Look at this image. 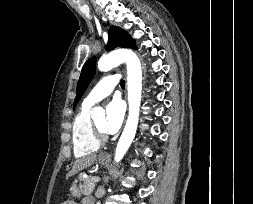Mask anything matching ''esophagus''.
<instances>
[{"label":"esophagus","mask_w":253,"mask_h":204,"mask_svg":"<svg viewBox=\"0 0 253 204\" xmlns=\"http://www.w3.org/2000/svg\"><path fill=\"white\" fill-rule=\"evenodd\" d=\"M125 97H126V92H125ZM100 157H102V158H109L110 154L109 153H103V154L100 155Z\"/></svg>","instance_id":"34e87169"}]
</instances>
